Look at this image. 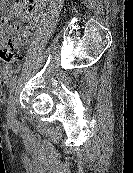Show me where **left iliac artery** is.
<instances>
[{
    "instance_id": "left-iliac-artery-1",
    "label": "left iliac artery",
    "mask_w": 133,
    "mask_h": 173,
    "mask_svg": "<svg viewBox=\"0 0 133 173\" xmlns=\"http://www.w3.org/2000/svg\"><path fill=\"white\" fill-rule=\"evenodd\" d=\"M16 83H17V76H13L11 78L10 82H9V92H10V95L14 91Z\"/></svg>"
}]
</instances>
